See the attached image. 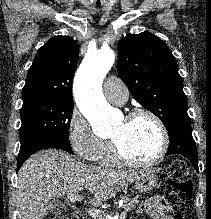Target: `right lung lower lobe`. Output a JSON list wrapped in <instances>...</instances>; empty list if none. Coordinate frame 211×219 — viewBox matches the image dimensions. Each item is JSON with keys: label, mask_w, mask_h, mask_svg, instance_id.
Masks as SVG:
<instances>
[{"label": "right lung lower lobe", "mask_w": 211, "mask_h": 219, "mask_svg": "<svg viewBox=\"0 0 211 219\" xmlns=\"http://www.w3.org/2000/svg\"><path fill=\"white\" fill-rule=\"evenodd\" d=\"M47 148H57L69 153H73L71 146L64 145L62 143L52 141V140H42L34 142L25 148L20 149L18 154V161H17V171L20 169L24 161L33 153Z\"/></svg>", "instance_id": "right-lung-lower-lobe-1"}]
</instances>
